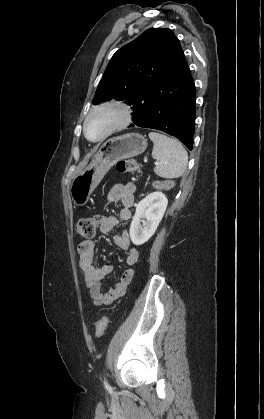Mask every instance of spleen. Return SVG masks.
<instances>
[{
    "instance_id": "spleen-1",
    "label": "spleen",
    "mask_w": 264,
    "mask_h": 419,
    "mask_svg": "<svg viewBox=\"0 0 264 419\" xmlns=\"http://www.w3.org/2000/svg\"><path fill=\"white\" fill-rule=\"evenodd\" d=\"M153 141L152 156L158 161L154 172L163 178H178L187 168L188 154L183 145L174 138L158 132H150Z\"/></svg>"
}]
</instances>
